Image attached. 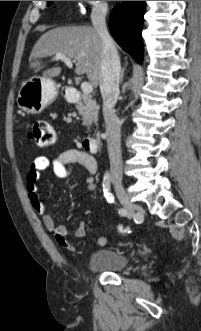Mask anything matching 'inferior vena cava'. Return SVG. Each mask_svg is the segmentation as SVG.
Here are the masks:
<instances>
[{
	"mask_svg": "<svg viewBox=\"0 0 201 331\" xmlns=\"http://www.w3.org/2000/svg\"><path fill=\"white\" fill-rule=\"evenodd\" d=\"M107 9L100 7L91 16L94 29L102 41L100 91L103 99V116L112 175L122 177L121 123L114 106L119 96L121 65L119 56L106 27Z\"/></svg>",
	"mask_w": 201,
	"mask_h": 331,
	"instance_id": "inferior-vena-cava-1",
	"label": "inferior vena cava"
}]
</instances>
